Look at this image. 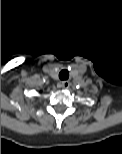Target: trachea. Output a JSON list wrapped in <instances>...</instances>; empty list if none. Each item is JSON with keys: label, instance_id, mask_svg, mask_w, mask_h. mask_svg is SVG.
Segmentation results:
<instances>
[{"label": "trachea", "instance_id": "1", "mask_svg": "<svg viewBox=\"0 0 122 154\" xmlns=\"http://www.w3.org/2000/svg\"><path fill=\"white\" fill-rule=\"evenodd\" d=\"M59 78L60 80H67L69 78V72L67 70H62L60 73H59Z\"/></svg>", "mask_w": 122, "mask_h": 154}]
</instances>
